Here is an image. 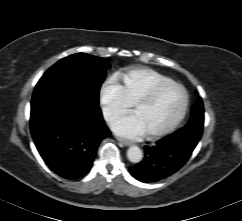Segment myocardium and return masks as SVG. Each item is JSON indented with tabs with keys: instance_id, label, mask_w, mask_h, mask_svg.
Returning <instances> with one entry per match:
<instances>
[{
	"instance_id": "myocardium-1",
	"label": "myocardium",
	"mask_w": 242,
	"mask_h": 221,
	"mask_svg": "<svg viewBox=\"0 0 242 221\" xmlns=\"http://www.w3.org/2000/svg\"><path fill=\"white\" fill-rule=\"evenodd\" d=\"M171 86L179 88L183 93L184 102H183L182 109H181L178 117L168 127H166L163 130L157 131V132L147 133L146 136L149 139H159L164 136H167L168 134L172 133L181 124V122L185 118L188 108H189V94H188L186 88L182 84L171 80V81L157 84L156 86L151 88L145 95H143L140 99H138L134 103L133 110L135 111V109L140 106L150 104L162 90H164L168 87H171Z\"/></svg>"
}]
</instances>
